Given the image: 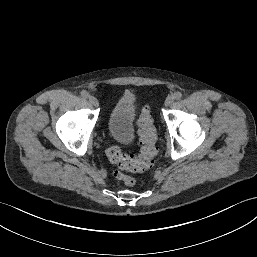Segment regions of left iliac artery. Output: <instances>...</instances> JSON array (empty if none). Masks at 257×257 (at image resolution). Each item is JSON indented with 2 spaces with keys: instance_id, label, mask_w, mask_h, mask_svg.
<instances>
[{
  "instance_id": "1",
  "label": "left iliac artery",
  "mask_w": 257,
  "mask_h": 257,
  "mask_svg": "<svg viewBox=\"0 0 257 257\" xmlns=\"http://www.w3.org/2000/svg\"><path fill=\"white\" fill-rule=\"evenodd\" d=\"M173 97L176 100H180L182 98V93L177 91V92L174 93Z\"/></svg>"
}]
</instances>
